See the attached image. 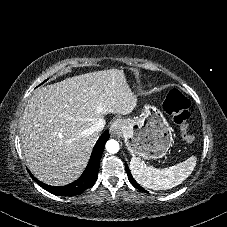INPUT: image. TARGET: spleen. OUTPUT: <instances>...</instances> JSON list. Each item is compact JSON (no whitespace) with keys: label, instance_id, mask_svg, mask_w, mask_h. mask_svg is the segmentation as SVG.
Listing matches in <instances>:
<instances>
[{"label":"spleen","instance_id":"1","mask_svg":"<svg viewBox=\"0 0 227 227\" xmlns=\"http://www.w3.org/2000/svg\"><path fill=\"white\" fill-rule=\"evenodd\" d=\"M196 162V156H191L174 166L156 169L153 166L144 165L138 157L134 156L130 162V169L141 186L153 190H166L186 180L193 172Z\"/></svg>","mask_w":227,"mask_h":227}]
</instances>
